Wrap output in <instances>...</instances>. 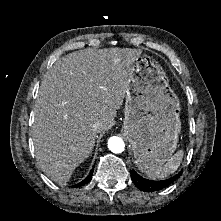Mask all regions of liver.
<instances>
[{
	"mask_svg": "<svg viewBox=\"0 0 221 221\" xmlns=\"http://www.w3.org/2000/svg\"><path fill=\"white\" fill-rule=\"evenodd\" d=\"M140 49H84L57 60L44 75L34 105L31 137L42 171L65 185L87 159L97 133L115 124ZM99 121L98 131L93 124Z\"/></svg>",
	"mask_w": 221,
	"mask_h": 221,
	"instance_id": "6515ba94",
	"label": "liver"
}]
</instances>
